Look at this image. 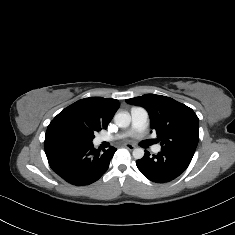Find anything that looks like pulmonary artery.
I'll use <instances>...</instances> for the list:
<instances>
[{
    "instance_id": "1",
    "label": "pulmonary artery",
    "mask_w": 235,
    "mask_h": 235,
    "mask_svg": "<svg viewBox=\"0 0 235 235\" xmlns=\"http://www.w3.org/2000/svg\"><path fill=\"white\" fill-rule=\"evenodd\" d=\"M131 113V126L130 128L120 134L115 135H101L94 140L95 145H100L103 142H110L125 136H129L137 131L142 130L148 124V111L144 107H132L130 110ZM161 150L159 145L153 147V152L157 153Z\"/></svg>"
}]
</instances>
